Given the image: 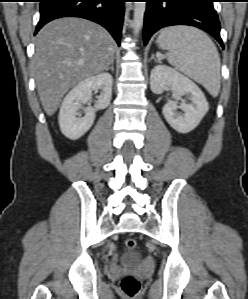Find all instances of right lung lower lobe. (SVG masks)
<instances>
[{"instance_id": "1", "label": "right lung lower lobe", "mask_w": 248, "mask_h": 299, "mask_svg": "<svg viewBox=\"0 0 248 299\" xmlns=\"http://www.w3.org/2000/svg\"><path fill=\"white\" fill-rule=\"evenodd\" d=\"M40 21L35 33L46 23L62 17H81L105 27L120 45L125 0H40Z\"/></svg>"}]
</instances>
